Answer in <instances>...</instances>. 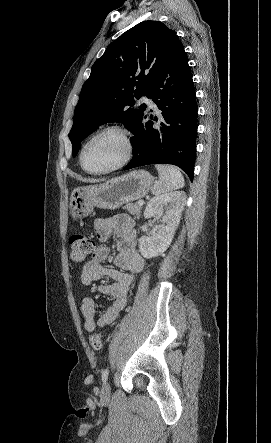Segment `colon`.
Segmentation results:
<instances>
[{"instance_id": "1", "label": "colon", "mask_w": 271, "mask_h": 443, "mask_svg": "<svg viewBox=\"0 0 271 443\" xmlns=\"http://www.w3.org/2000/svg\"><path fill=\"white\" fill-rule=\"evenodd\" d=\"M69 258L75 265L84 263L89 254L94 250L93 240L81 233L71 235L69 238ZM93 349L99 350L102 347L101 335L98 331H93L89 337Z\"/></svg>"}]
</instances>
